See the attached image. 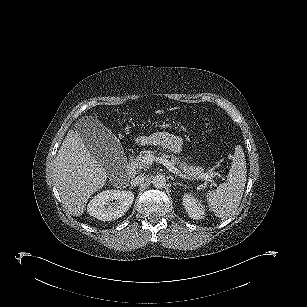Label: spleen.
I'll use <instances>...</instances> for the list:
<instances>
[{"instance_id":"obj_1","label":"spleen","mask_w":307,"mask_h":307,"mask_svg":"<svg viewBox=\"0 0 307 307\" xmlns=\"http://www.w3.org/2000/svg\"><path fill=\"white\" fill-rule=\"evenodd\" d=\"M246 161L243 150L236 148L226 182L206 194L208 207L216 216L226 219L238 209L246 184Z\"/></svg>"}]
</instances>
